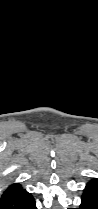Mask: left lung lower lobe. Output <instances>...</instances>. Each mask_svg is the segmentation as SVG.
<instances>
[{
  "label": "left lung lower lobe",
  "mask_w": 98,
  "mask_h": 209,
  "mask_svg": "<svg viewBox=\"0 0 98 209\" xmlns=\"http://www.w3.org/2000/svg\"><path fill=\"white\" fill-rule=\"evenodd\" d=\"M78 209H98V180L93 179L87 183Z\"/></svg>",
  "instance_id": "0a47b994"
}]
</instances>
